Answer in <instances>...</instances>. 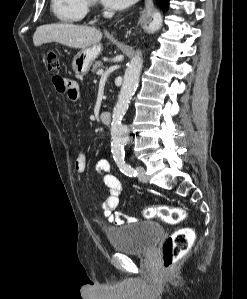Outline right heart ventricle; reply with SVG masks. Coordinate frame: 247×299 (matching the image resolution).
<instances>
[{"label": "right heart ventricle", "mask_w": 247, "mask_h": 299, "mask_svg": "<svg viewBox=\"0 0 247 299\" xmlns=\"http://www.w3.org/2000/svg\"><path fill=\"white\" fill-rule=\"evenodd\" d=\"M51 11L59 22L75 24L85 18L88 4L86 0H51Z\"/></svg>", "instance_id": "right-heart-ventricle-1"}]
</instances>
